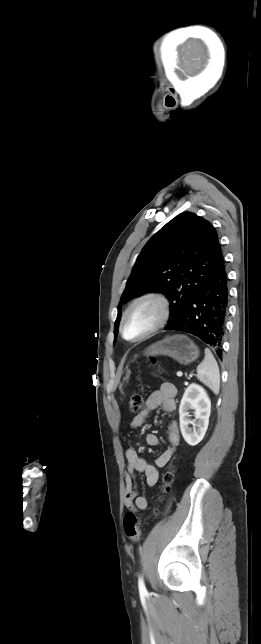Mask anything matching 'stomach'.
I'll return each mask as SVG.
<instances>
[{
  "instance_id": "stomach-1",
  "label": "stomach",
  "mask_w": 261,
  "mask_h": 644,
  "mask_svg": "<svg viewBox=\"0 0 261 644\" xmlns=\"http://www.w3.org/2000/svg\"><path fill=\"white\" fill-rule=\"evenodd\" d=\"M146 355L169 356L182 365H189L199 357V349L195 343L185 335L166 336L164 339L151 344L146 350ZM130 371L127 369L123 375V383L129 379Z\"/></svg>"
}]
</instances>
